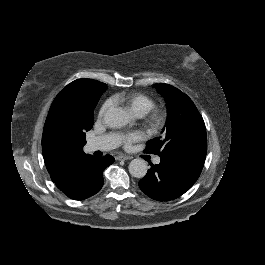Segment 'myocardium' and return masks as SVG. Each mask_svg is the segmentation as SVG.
I'll return each instance as SVG.
<instances>
[{
	"mask_svg": "<svg viewBox=\"0 0 265 265\" xmlns=\"http://www.w3.org/2000/svg\"><path fill=\"white\" fill-rule=\"evenodd\" d=\"M160 124H161V118L154 117L153 118V125L156 126V127H158V126H160Z\"/></svg>",
	"mask_w": 265,
	"mask_h": 265,
	"instance_id": "f54148a6",
	"label": "myocardium"
}]
</instances>
